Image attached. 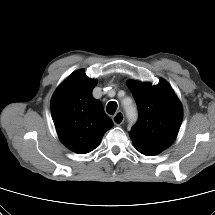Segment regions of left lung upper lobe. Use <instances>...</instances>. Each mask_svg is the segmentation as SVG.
<instances>
[{
    "mask_svg": "<svg viewBox=\"0 0 215 215\" xmlns=\"http://www.w3.org/2000/svg\"><path fill=\"white\" fill-rule=\"evenodd\" d=\"M139 111V120L129 133L135 148L153 156L168 148L175 140L183 118L180 101L165 81L150 83L129 81Z\"/></svg>",
    "mask_w": 215,
    "mask_h": 215,
    "instance_id": "obj_1",
    "label": "left lung upper lobe"
}]
</instances>
